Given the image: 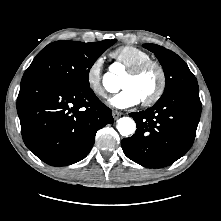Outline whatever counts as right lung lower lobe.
Returning a JSON list of instances; mask_svg holds the SVG:
<instances>
[{"instance_id": "right-lung-lower-lobe-1", "label": "right lung lower lobe", "mask_w": 221, "mask_h": 221, "mask_svg": "<svg viewBox=\"0 0 221 221\" xmlns=\"http://www.w3.org/2000/svg\"><path fill=\"white\" fill-rule=\"evenodd\" d=\"M17 112L25 145L52 166L85 158L96 132L114 121L89 86L47 77L22 78Z\"/></svg>"}]
</instances>
